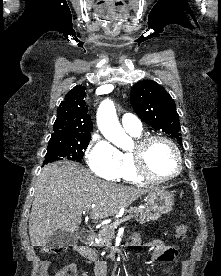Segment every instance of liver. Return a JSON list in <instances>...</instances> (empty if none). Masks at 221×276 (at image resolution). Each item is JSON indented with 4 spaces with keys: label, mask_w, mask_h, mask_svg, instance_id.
<instances>
[{
    "label": "liver",
    "mask_w": 221,
    "mask_h": 276,
    "mask_svg": "<svg viewBox=\"0 0 221 276\" xmlns=\"http://www.w3.org/2000/svg\"><path fill=\"white\" fill-rule=\"evenodd\" d=\"M151 191L97 179L71 161L46 165L37 179L29 218L31 244L45 246L58 229L74 233L85 210L91 219H105Z\"/></svg>",
    "instance_id": "obj_1"
}]
</instances>
